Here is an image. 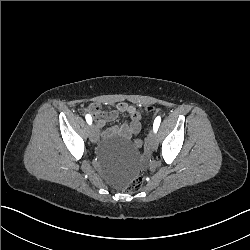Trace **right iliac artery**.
I'll use <instances>...</instances> for the list:
<instances>
[{
	"instance_id": "obj_1",
	"label": "right iliac artery",
	"mask_w": 250,
	"mask_h": 250,
	"mask_svg": "<svg viewBox=\"0 0 250 250\" xmlns=\"http://www.w3.org/2000/svg\"><path fill=\"white\" fill-rule=\"evenodd\" d=\"M85 118H86L87 123L89 125H91L92 124V117L89 114H87Z\"/></svg>"
}]
</instances>
